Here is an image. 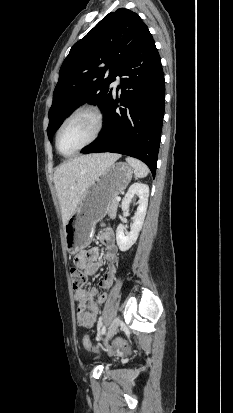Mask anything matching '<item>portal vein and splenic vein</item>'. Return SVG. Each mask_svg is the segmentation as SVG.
Wrapping results in <instances>:
<instances>
[{
  "mask_svg": "<svg viewBox=\"0 0 233 413\" xmlns=\"http://www.w3.org/2000/svg\"><path fill=\"white\" fill-rule=\"evenodd\" d=\"M115 200H116V201H120L121 198H120V197H116Z\"/></svg>",
  "mask_w": 233,
  "mask_h": 413,
  "instance_id": "obj_1",
  "label": "portal vein and splenic vein"
}]
</instances>
